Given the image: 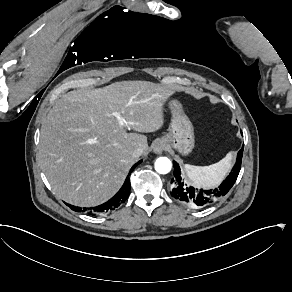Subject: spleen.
Returning <instances> with one entry per match:
<instances>
[{"instance_id": "obj_1", "label": "spleen", "mask_w": 292, "mask_h": 292, "mask_svg": "<svg viewBox=\"0 0 292 292\" xmlns=\"http://www.w3.org/2000/svg\"><path fill=\"white\" fill-rule=\"evenodd\" d=\"M233 153L229 152L219 162L209 166H184L188 179L196 188H213L220 184L231 168Z\"/></svg>"}]
</instances>
